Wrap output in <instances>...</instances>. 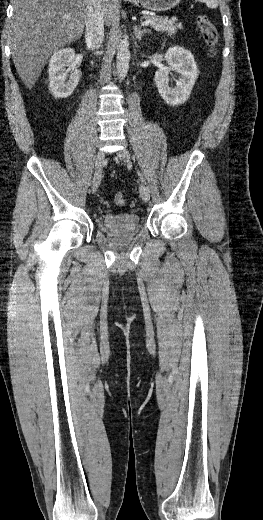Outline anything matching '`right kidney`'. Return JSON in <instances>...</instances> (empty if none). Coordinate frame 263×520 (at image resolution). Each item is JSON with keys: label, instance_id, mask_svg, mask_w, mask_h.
<instances>
[{"label": "right kidney", "instance_id": "ca27d5eb", "mask_svg": "<svg viewBox=\"0 0 263 520\" xmlns=\"http://www.w3.org/2000/svg\"><path fill=\"white\" fill-rule=\"evenodd\" d=\"M75 51L65 48L54 52L49 61V90L55 98L69 97L80 79V72L74 62ZM71 74L68 75V72Z\"/></svg>", "mask_w": 263, "mask_h": 520}]
</instances>
